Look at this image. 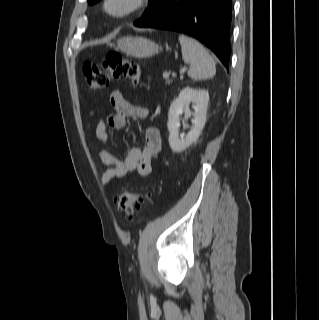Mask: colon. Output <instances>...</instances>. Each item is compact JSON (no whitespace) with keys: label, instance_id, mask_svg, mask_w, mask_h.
<instances>
[{"label":"colon","instance_id":"colon-1","mask_svg":"<svg viewBox=\"0 0 319 320\" xmlns=\"http://www.w3.org/2000/svg\"><path fill=\"white\" fill-rule=\"evenodd\" d=\"M87 85L99 90L110 85L113 78L138 84L141 78L139 65L117 51H109L102 63L87 62L83 65ZM154 191L142 192L123 189L115 196V203L127 221H133L142 205L150 200Z\"/></svg>","mask_w":319,"mask_h":320}]
</instances>
